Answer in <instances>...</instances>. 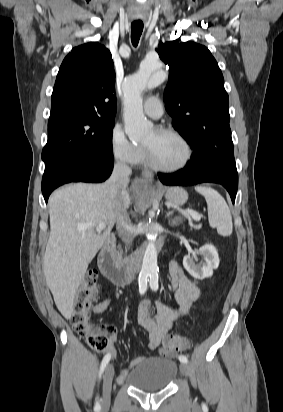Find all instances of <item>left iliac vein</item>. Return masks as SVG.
<instances>
[{
  "label": "left iliac vein",
  "instance_id": "4c4485c4",
  "mask_svg": "<svg viewBox=\"0 0 283 412\" xmlns=\"http://www.w3.org/2000/svg\"><path fill=\"white\" fill-rule=\"evenodd\" d=\"M180 370L181 372L185 375V376H189L190 375V368L186 363H182L180 365Z\"/></svg>",
  "mask_w": 283,
  "mask_h": 412
}]
</instances>
